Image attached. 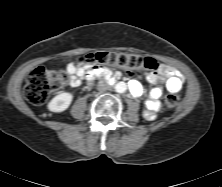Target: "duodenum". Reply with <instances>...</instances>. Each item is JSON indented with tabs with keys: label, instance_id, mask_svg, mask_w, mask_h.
Listing matches in <instances>:
<instances>
[{
	"label": "duodenum",
	"instance_id": "1",
	"mask_svg": "<svg viewBox=\"0 0 222 187\" xmlns=\"http://www.w3.org/2000/svg\"><path fill=\"white\" fill-rule=\"evenodd\" d=\"M101 75H105L106 79L109 81V82H115L117 81V76L115 75H112V74H109L107 71H104V70H97V71H93L92 73H89V78L90 79H93L97 76H101Z\"/></svg>",
	"mask_w": 222,
	"mask_h": 187
}]
</instances>
